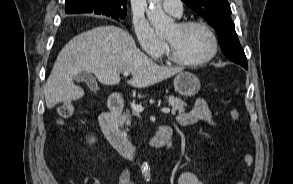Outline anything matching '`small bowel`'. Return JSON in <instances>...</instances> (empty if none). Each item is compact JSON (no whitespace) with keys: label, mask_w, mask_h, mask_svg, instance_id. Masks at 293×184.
<instances>
[{"label":"small bowel","mask_w":293,"mask_h":184,"mask_svg":"<svg viewBox=\"0 0 293 184\" xmlns=\"http://www.w3.org/2000/svg\"><path fill=\"white\" fill-rule=\"evenodd\" d=\"M177 121L183 125L188 126L192 125L198 121H204L206 123L214 125L215 122L213 120L212 113L205 102L204 99H197L193 108L184 113H180L177 116ZM71 184H79L74 179H70ZM118 184H134V182L130 179V171L129 169H123L119 174V182ZM178 184H205L199 178H197L194 174L190 172H183L178 177Z\"/></svg>","instance_id":"obj_1"}]
</instances>
